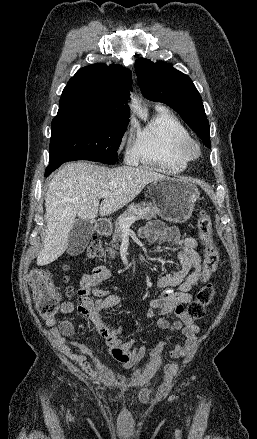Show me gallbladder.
Returning a JSON list of instances; mask_svg holds the SVG:
<instances>
[{"label": "gallbladder", "mask_w": 257, "mask_h": 439, "mask_svg": "<svg viewBox=\"0 0 257 439\" xmlns=\"http://www.w3.org/2000/svg\"><path fill=\"white\" fill-rule=\"evenodd\" d=\"M93 232L92 221L77 219L69 234L67 253L72 256L81 254L89 244Z\"/></svg>", "instance_id": "obj_1"}]
</instances>
